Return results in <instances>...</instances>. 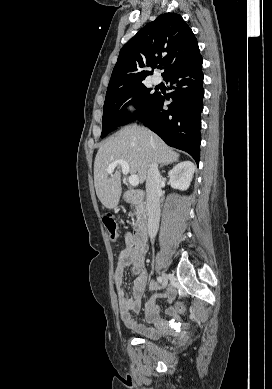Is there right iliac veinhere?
<instances>
[{
	"label": "right iliac vein",
	"mask_w": 272,
	"mask_h": 389,
	"mask_svg": "<svg viewBox=\"0 0 272 389\" xmlns=\"http://www.w3.org/2000/svg\"><path fill=\"white\" fill-rule=\"evenodd\" d=\"M161 278H162V284H163V286L166 287L167 284H168V279H169L168 275L165 274V273H162Z\"/></svg>",
	"instance_id": "63e3f726"
}]
</instances>
